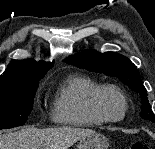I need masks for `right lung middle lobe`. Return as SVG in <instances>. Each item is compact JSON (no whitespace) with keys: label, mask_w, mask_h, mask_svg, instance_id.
<instances>
[{"label":"right lung middle lobe","mask_w":155,"mask_h":149,"mask_svg":"<svg viewBox=\"0 0 155 149\" xmlns=\"http://www.w3.org/2000/svg\"><path fill=\"white\" fill-rule=\"evenodd\" d=\"M41 78L0 80V130L25 124Z\"/></svg>","instance_id":"right-lung-middle-lobe-1"}]
</instances>
